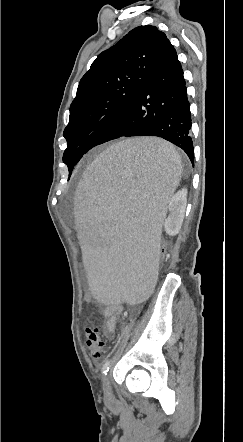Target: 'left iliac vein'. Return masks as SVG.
I'll return each instance as SVG.
<instances>
[{
	"instance_id": "4c4485c4",
	"label": "left iliac vein",
	"mask_w": 243,
	"mask_h": 442,
	"mask_svg": "<svg viewBox=\"0 0 243 442\" xmlns=\"http://www.w3.org/2000/svg\"><path fill=\"white\" fill-rule=\"evenodd\" d=\"M104 397L106 402H110L113 399L112 389L110 385V375H105L103 379Z\"/></svg>"
}]
</instances>
